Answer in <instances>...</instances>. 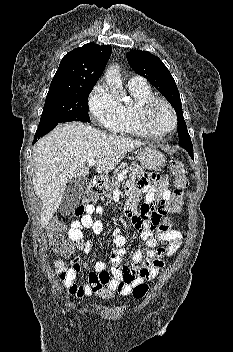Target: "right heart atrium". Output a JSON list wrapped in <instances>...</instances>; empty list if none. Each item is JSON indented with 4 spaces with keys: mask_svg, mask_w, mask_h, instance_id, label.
Returning <instances> with one entry per match:
<instances>
[{
    "mask_svg": "<svg viewBox=\"0 0 233 352\" xmlns=\"http://www.w3.org/2000/svg\"><path fill=\"white\" fill-rule=\"evenodd\" d=\"M89 109L98 125L110 132H118L121 105L104 84H97L89 97Z\"/></svg>",
    "mask_w": 233,
    "mask_h": 352,
    "instance_id": "d8ad5b80",
    "label": "right heart atrium"
}]
</instances>
